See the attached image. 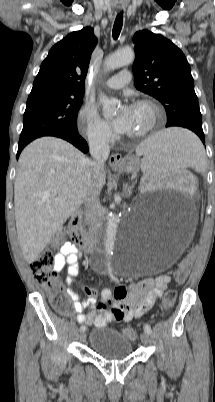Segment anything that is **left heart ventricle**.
<instances>
[{
	"label": "left heart ventricle",
	"instance_id": "left-heart-ventricle-1",
	"mask_svg": "<svg viewBox=\"0 0 215 402\" xmlns=\"http://www.w3.org/2000/svg\"><path fill=\"white\" fill-rule=\"evenodd\" d=\"M150 111L146 107H132V123L128 134L143 130L149 123Z\"/></svg>",
	"mask_w": 215,
	"mask_h": 402
}]
</instances>
